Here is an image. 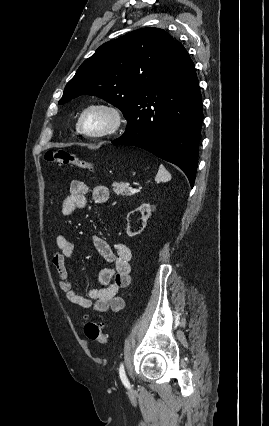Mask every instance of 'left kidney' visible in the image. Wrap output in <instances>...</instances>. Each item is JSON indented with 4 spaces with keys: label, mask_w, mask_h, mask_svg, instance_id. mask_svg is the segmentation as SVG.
Returning <instances> with one entry per match:
<instances>
[{
    "label": "left kidney",
    "mask_w": 269,
    "mask_h": 426,
    "mask_svg": "<svg viewBox=\"0 0 269 426\" xmlns=\"http://www.w3.org/2000/svg\"><path fill=\"white\" fill-rule=\"evenodd\" d=\"M154 210H156L155 205H150L149 203H143L141 204L140 207L130 212L128 214V224L126 229L127 235L130 237H133L137 234H140L143 231L144 227L146 226L147 219L150 217L151 212ZM135 212H139L142 216L141 220L143 221V224H142L143 227H141L139 230L135 227L136 221H132L130 217V215L134 214ZM145 212L147 213L146 215H145ZM131 223H133V226H131Z\"/></svg>",
    "instance_id": "5707ae66"
}]
</instances>
